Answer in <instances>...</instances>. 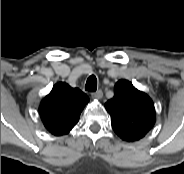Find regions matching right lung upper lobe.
Listing matches in <instances>:
<instances>
[{
	"label": "right lung upper lobe",
	"instance_id": "obj_1",
	"mask_svg": "<svg viewBox=\"0 0 184 174\" xmlns=\"http://www.w3.org/2000/svg\"><path fill=\"white\" fill-rule=\"evenodd\" d=\"M88 102V96L81 90L59 82L41 101L40 117L50 133L65 135L77 124L80 113Z\"/></svg>",
	"mask_w": 184,
	"mask_h": 174
}]
</instances>
